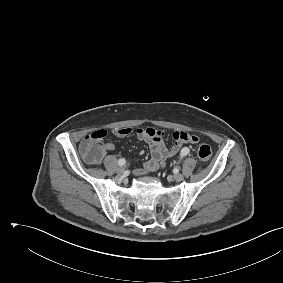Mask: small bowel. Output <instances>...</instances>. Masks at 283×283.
Returning a JSON list of instances; mask_svg holds the SVG:
<instances>
[{"label":"small bowel","mask_w":283,"mask_h":283,"mask_svg":"<svg viewBox=\"0 0 283 283\" xmlns=\"http://www.w3.org/2000/svg\"><path fill=\"white\" fill-rule=\"evenodd\" d=\"M115 137L123 138L129 135H135L138 140L145 141L149 144L151 158L147 160L141 169L135 171L136 175H144L154 172L164 166L166 160L174 157L184 144H195L199 137L186 132H174L173 144L167 147L164 144V133L153 128H116L111 131ZM115 145L107 142L103 145V152L113 151Z\"/></svg>","instance_id":"c3829d8e"}]
</instances>
